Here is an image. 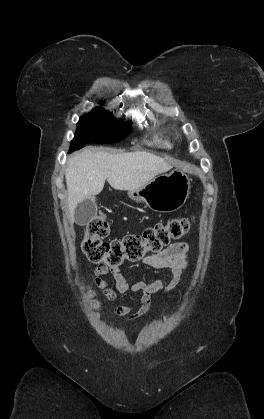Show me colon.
Segmentation results:
<instances>
[{"instance_id": "1", "label": "colon", "mask_w": 264, "mask_h": 419, "mask_svg": "<svg viewBox=\"0 0 264 419\" xmlns=\"http://www.w3.org/2000/svg\"><path fill=\"white\" fill-rule=\"evenodd\" d=\"M190 228L186 218H172L165 223H157L146 228L141 234H129L122 239L105 241L109 233V223L104 215L93 218L86 227L81 248L87 259L109 268H119L125 262H136L147 253L160 252L172 240L183 237ZM90 305L98 307L94 293L88 290Z\"/></svg>"}]
</instances>
